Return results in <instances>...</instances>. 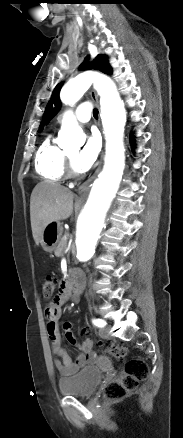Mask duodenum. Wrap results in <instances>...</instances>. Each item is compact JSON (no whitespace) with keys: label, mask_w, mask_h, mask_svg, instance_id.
Segmentation results:
<instances>
[{"label":"duodenum","mask_w":183,"mask_h":438,"mask_svg":"<svg viewBox=\"0 0 183 438\" xmlns=\"http://www.w3.org/2000/svg\"><path fill=\"white\" fill-rule=\"evenodd\" d=\"M69 288L75 297H79L83 288L81 279L76 276H71L69 279Z\"/></svg>","instance_id":"obj_1"}]
</instances>
